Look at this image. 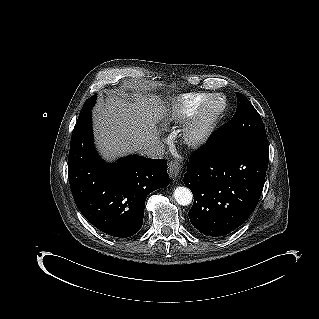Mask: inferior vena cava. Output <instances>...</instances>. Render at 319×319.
I'll use <instances>...</instances> for the list:
<instances>
[{
    "label": "inferior vena cava",
    "instance_id": "1",
    "mask_svg": "<svg viewBox=\"0 0 319 319\" xmlns=\"http://www.w3.org/2000/svg\"><path fill=\"white\" fill-rule=\"evenodd\" d=\"M140 153L152 159H160L165 154V147L160 142H155L142 146Z\"/></svg>",
    "mask_w": 319,
    "mask_h": 319
}]
</instances>
